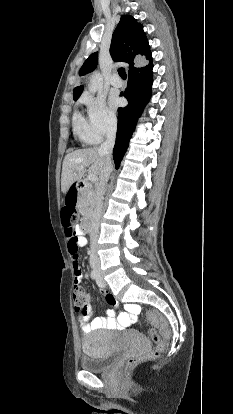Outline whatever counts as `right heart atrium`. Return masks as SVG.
<instances>
[{
	"mask_svg": "<svg viewBox=\"0 0 233 414\" xmlns=\"http://www.w3.org/2000/svg\"><path fill=\"white\" fill-rule=\"evenodd\" d=\"M82 101L86 106L88 116V141L99 143L116 130L117 116L101 96L88 95Z\"/></svg>",
	"mask_w": 233,
	"mask_h": 414,
	"instance_id": "d8ad5b80",
	"label": "right heart atrium"
}]
</instances>
